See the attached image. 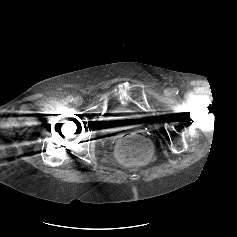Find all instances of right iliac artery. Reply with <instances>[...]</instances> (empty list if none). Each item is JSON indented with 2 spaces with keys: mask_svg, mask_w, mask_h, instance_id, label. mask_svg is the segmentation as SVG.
I'll use <instances>...</instances> for the list:
<instances>
[{
  "mask_svg": "<svg viewBox=\"0 0 237 237\" xmlns=\"http://www.w3.org/2000/svg\"><path fill=\"white\" fill-rule=\"evenodd\" d=\"M66 100H67L68 102H72V101H73V97L69 95V96H67Z\"/></svg>",
  "mask_w": 237,
  "mask_h": 237,
  "instance_id": "82829eb1",
  "label": "right iliac artery"
}]
</instances>
